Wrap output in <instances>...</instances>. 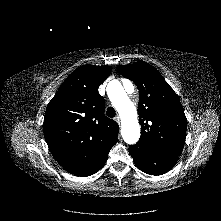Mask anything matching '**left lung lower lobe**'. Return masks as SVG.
<instances>
[{
    "label": "left lung lower lobe",
    "instance_id": "1",
    "mask_svg": "<svg viewBox=\"0 0 221 221\" xmlns=\"http://www.w3.org/2000/svg\"><path fill=\"white\" fill-rule=\"evenodd\" d=\"M129 152L136 166L150 175L168 172L178 160L176 156L157 152L140 143L130 146Z\"/></svg>",
    "mask_w": 221,
    "mask_h": 221
}]
</instances>
